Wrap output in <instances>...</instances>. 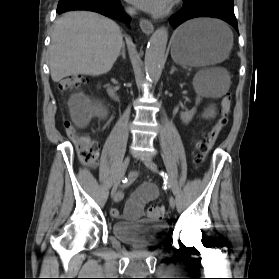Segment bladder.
Listing matches in <instances>:
<instances>
[{
	"instance_id": "1",
	"label": "bladder",
	"mask_w": 279,
	"mask_h": 279,
	"mask_svg": "<svg viewBox=\"0 0 279 279\" xmlns=\"http://www.w3.org/2000/svg\"><path fill=\"white\" fill-rule=\"evenodd\" d=\"M168 225L155 219L119 221L113 224V234L120 241L138 247L160 244L168 233Z\"/></svg>"
}]
</instances>
